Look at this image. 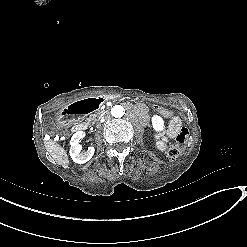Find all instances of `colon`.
Segmentation results:
<instances>
[{"label":"colon","instance_id":"1","mask_svg":"<svg viewBox=\"0 0 247 247\" xmlns=\"http://www.w3.org/2000/svg\"><path fill=\"white\" fill-rule=\"evenodd\" d=\"M156 112L160 116H164L166 118L171 117V110L167 109L163 105H158L156 107ZM189 139V132L187 128H182L179 134L176 136L175 141L168 147L166 150V155L169 160H175L184 149Z\"/></svg>","mask_w":247,"mask_h":247}]
</instances>
